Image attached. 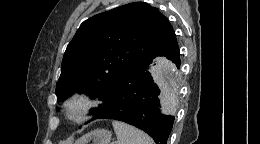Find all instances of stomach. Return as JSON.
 <instances>
[{
  "label": "stomach",
  "instance_id": "obj_1",
  "mask_svg": "<svg viewBox=\"0 0 260 144\" xmlns=\"http://www.w3.org/2000/svg\"><path fill=\"white\" fill-rule=\"evenodd\" d=\"M111 136L106 129H96L80 137L75 144H109Z\"/></svg>",
  "mask_w": 260,
  "mask_h": 144
}]
</instances>
